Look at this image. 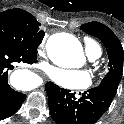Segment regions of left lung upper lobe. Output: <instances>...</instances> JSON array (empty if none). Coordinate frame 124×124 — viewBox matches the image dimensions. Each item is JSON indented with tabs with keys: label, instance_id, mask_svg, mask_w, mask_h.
<instances>
[{
	"label": "left lung upper lobe",
	"instance_id": "5c2ea615",
	"mask_svg": "<svg viewBox=\"0 0 124 124\" xmlns=\"http://www.w3.org/2000/svg\"><path fill=\"white\" fill-rule=\"evenodd\" d=\"M81 29L87 34L99 38L107 49L109 57V72L102 79L99 86L109 88L114 94L122 78L124 51L116 35L102 23L89 22L83 24Z\"/></svg>",
	"mask_w": 124,
	"mask_h": 124
}]
</instances>
